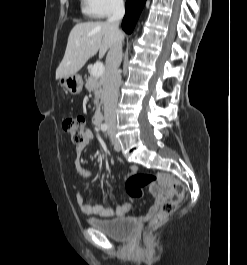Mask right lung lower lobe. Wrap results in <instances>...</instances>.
I'll list each match as a JSON object with an SVG mask.
<instances>
[{
  "instance_id": "right-lung-lower-lobe-1",
  "label": "right lung lower lobe",
  "mask_w": 247,
  "mask_h": 265,
  "mask_svg": "<svg viewBox=\"0 0 247 265\" xmlns=\"http://www.w3.org/2000/svg\"><path fill=\"white\" fill-rule=\"evenodd\" d=\"M146 0H127L126 13L122 21L123 30L130 34L138 20Z\"/></svg>"
}]
</instances>
